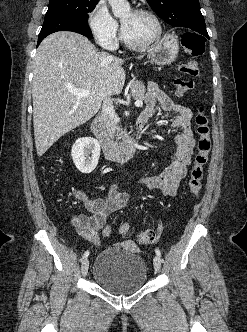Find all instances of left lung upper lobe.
Wrapping results in <instances>:
<instances>
[{
  "label": "left lung upper lobe",
  "instance_id": "1",
  "mask_svg": "<svg viewBox=\"0 0 247 332\" xmlns=\"http://www.w3.org/2000/svg\"><path fill=\"white\" fill-rule=\"evenodd\" d=\"M151 8L168 24L199 33L206 27L199 0H147Z\"/></svg>",
  "mask_w": 247,
  "mask_h": 332
}]
</instances>
